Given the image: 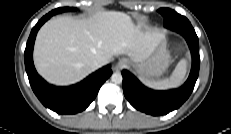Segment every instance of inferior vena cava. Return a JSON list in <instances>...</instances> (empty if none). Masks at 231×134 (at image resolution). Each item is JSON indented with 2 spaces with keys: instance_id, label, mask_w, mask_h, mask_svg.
Instances as JSON below:
<instances>
[{
  "instance_id": "1",
  "label": "inferior vena cava",
  "mask_w": 231,
  "mask_h": 134,
  "mask_svg": "<svg viewBox=\"0 0 231 134\" xmlns=\"http://www.w3.org/2000/svg\"><path fill=\"white\" fill-rule=\"evenodd\" d=\"M104 65V63L101 60H96L93 62L92 67L93 69H98L100 67H102Z\"/></svg>"
}]
</instances>
